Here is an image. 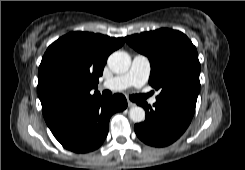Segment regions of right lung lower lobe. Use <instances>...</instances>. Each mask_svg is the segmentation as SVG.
I'll return each instance as SVG.
<instances>
[{
	"instance_id": "right-lung-lower-lobe-1",
	"label": "right lung lower lobe",
	"mask_w": 245,
	"mask_h": 170,
	"mask_svg": "<svg viewBox=\"0 0 245 170\" xmlns=\"http://www.w3.org/2000/svg\"><path fill=\"white\" fill-rule=\"evenodd\" d=\"M126 107L127 101L122 94L109 99L99 96L73 110L50 130L66 149L77 153L90 152L105 140L112 114Z\"/></svg>"
}]
</instances>
